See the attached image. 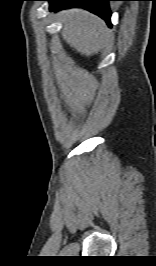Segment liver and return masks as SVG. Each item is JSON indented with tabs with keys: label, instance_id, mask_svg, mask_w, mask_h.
Wrapping results in <instances>:
<instances>
[{
	"label": "liver",
	"instance_id": "6515ba94",
	"mask_svg": "<svg viewBox=\"0 0 156 266\" xmlns=\"http://www.w3.org/2000/svg\"><path fill=\"white\" fill-rule=\"evenodd\" d=\"M60 17L64 24L62 38L82 55L97 53L110 37L105 22L85 10H66Z\"/></svg>",
	"mask_w": 156,
	"mask_h": 266
}]
</instances>
